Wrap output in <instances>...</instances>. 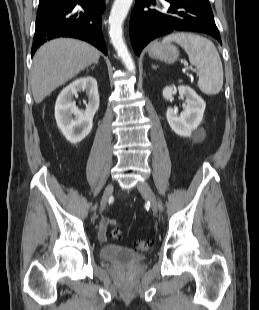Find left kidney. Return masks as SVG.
Wrapping results in <instances>:
<instances>
[{
	"instance_id": "left-kidney-1",
	"label": "left kidney",
	"mask_w": 259,
	"mask_h": 310,
	"mask_svg": "<svg viewBox=\"0 0 259 310\" xmlns=\"http://www.w3.org/2000/svg\"><path fill=\"white\" fill-rule=\"evenodd\" d=\"M177 90L181 96L186 97V107L180 115L169 107L166 111L167 121L171 129L179 136L195 137L197 136L195 132L203 119L206 104L191 87L184 85L178 88L165 87L163 97L166 100H172Z\"/></svg>"
}]
</instances>
